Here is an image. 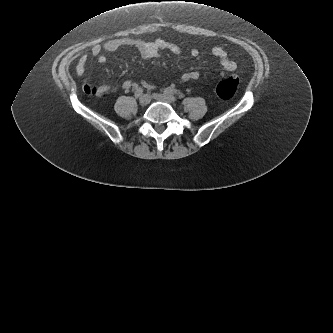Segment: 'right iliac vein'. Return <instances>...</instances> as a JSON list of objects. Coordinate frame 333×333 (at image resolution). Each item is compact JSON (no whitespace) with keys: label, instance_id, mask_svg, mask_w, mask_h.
Instances as JSON below:
<instances>
[{"label":"right iliac vein","instance_id":"obj_1","mask_svg":"<svg viewBox=\"0 0 333 333\" xmlns=\"http://www.w3.org/2000/svg\"><path fill=\"white\" fill-rule=\"evenodd\" d=\"M150 96L148 94H144L140 97L139 99V103L142 105V106H146L147 104L150 103Z\"/></svg>","mask_w":333,"mask_h":333}]
</instances>
